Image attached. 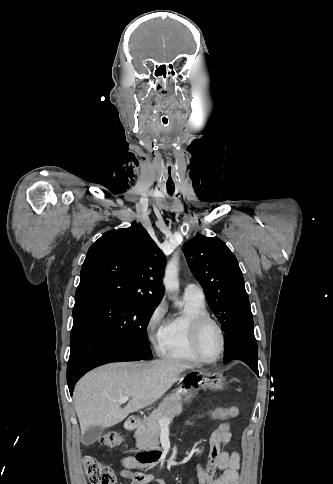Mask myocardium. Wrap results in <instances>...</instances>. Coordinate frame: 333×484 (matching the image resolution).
I'll return each mask as SVG.
<instances>
[{
	"instance_id": "f54148a6",
	"label": "myocardium",
	"mask_w": 333,
	"mask_h": 484,
	"mask_svg": "<svg viewBox=\"0 0 333 484\" xmlns=\"http://www.w3.org/2000/svg\"><path fill=\"white\" fill-rule=\"evenodd\" d=\"M208 325H213L217 329L219 336H220V350H219L218 354L213 358L206 357L203 354V352L201 350V346H200V339H201L202 332L205 329V327L208 326ZM191 343H192V347H193L194 352L203 362H205V363L215 362L223 356L224 351H225L226 337H225V332L223 330V327L221 326V324L217 320H215L211 316H209V315L208 316H202V317L196 319L194 321L193 325H192V328H191Z\"/></svg>"
}]
</instances>
